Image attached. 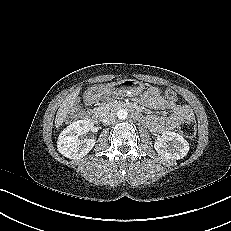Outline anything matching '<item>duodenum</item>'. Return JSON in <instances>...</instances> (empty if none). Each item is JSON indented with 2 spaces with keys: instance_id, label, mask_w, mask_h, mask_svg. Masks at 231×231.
Returning a JSON list of instances; mask_svg holds the SVG:
<instances>
[{
  "instance_id": "1",
  "label": "duodenum",
  "mask_w": 231,
  "mask_h": 231,
  "mask_svg": "<svg viewBox=\"0 0 231 231\" xmlns=\"http://www.w3.org/2000/svg\"><path fill=\"white\" fill-rule=\"evenodd\" d=\"M115 107H116V109L131 110L134 118H136L137 120L143 119L142 114L139 111L135 110L134 107L132 106V104L118 103V104H116ZM85 118L87 120L94 121V122L98 120V116H97L96 112L94 110H91V109L86 112Z\"/></svg>"
}]
</instances>
